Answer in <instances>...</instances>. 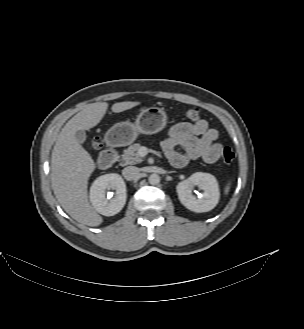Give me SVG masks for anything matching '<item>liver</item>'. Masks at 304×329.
Wrapping results in <instances>:
<instances>
[{
    "label": "liver",
    "mask_w": 304,
    "mask_h": 329,
    "mask_svg": "<svg viewBox=\"0 0 304 329\" xmlns=\"http://www.w3.org/2000/svg\"><path fill=\"white\" fill-rule=\"evenodd\" d=\"M140 102L125 101L112 105L114 113L132 109ZM106 102L86 105L62 128L54 145L51 157V184L62 208L76 221L99 226L103 219L90 205L87 196L89 177L95 170L90 154L75 138L78 130H90L104 117Z\"/></svg>",
    "instance_id": "1"
}]
</instances>
